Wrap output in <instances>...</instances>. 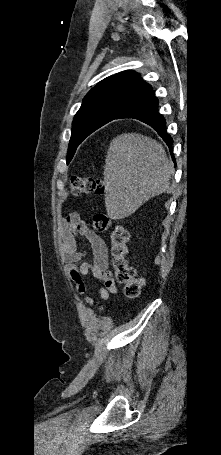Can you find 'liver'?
Here are the masks:
<instances>
[{
    "label": "liver",
    "mask_w": 221,
    "mask_h": 455,
    "mask_svg": "<svg viewBox=\"0 0 221 455\" xmlns=\"http://www.w3.org/2000/svg\"><path fill=\"white\" fill-rule=\"evenodd\" d=\"M173 174L162 144L139 133L118 135L110 143L104 166L108 216L129 217L150 198L168 191Z\"/></svg>",
    "instance_id": "1"
}]
</instances>
